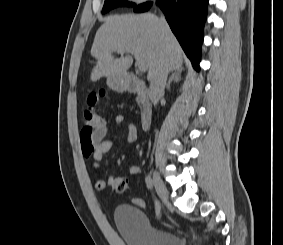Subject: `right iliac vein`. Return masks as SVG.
Returning <instances> with one entry per match:
<instances>
[{"label": "right iliac vein", "instance_id": "63e3f726", "mask_svg": "<svg viewBox=\"0 0 283 245\" xmlns=\"http://www.w3.org/2000/svg\"><path fill=\"white\" fill-rule=\"evenodd\" d=\"M153 182H154L155 189H156L160 199L162 200V202L165 205L168 204L167 189H166L164 183L162 182V180L160 179L157 172H153Z\"/></svg>", "mask_w": 283, "mask_h": 245}]
</instances>
